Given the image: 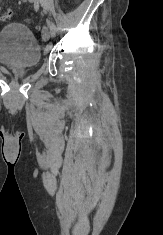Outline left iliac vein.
<instances>
[{
  "instance_id": "4c4485c4",
  "label": "left iliac vein",
  "mask_w": 163,
  "mask_h": 235,
  "mask_svg": "<svg viewBox=\"0 0 163 235\" xmlns=\"http://www.w3.org/2000/svg\"><path fill=\"white\" fill-rule=\"evenodd\" d=\"M30 2H36V0H29ZM51 31L47 26L42 28V39L47 42L50 39Z\"/></svg>"
}]
</instances>
